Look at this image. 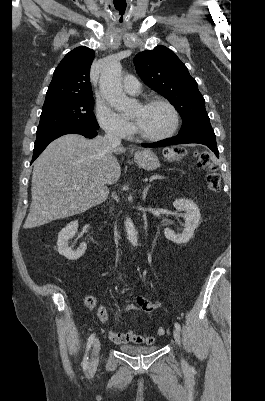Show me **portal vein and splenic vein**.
Segmentation results:
<instances>
[{"instance_id": "18ae733b", "label": "portal vein and splenic vein", "mask_w": 265, "mask_h": 401, "mask_svg": "<svg viewBox=\"0 0 265 401\" xmlns=\"http://www.w3.org/2000/svg\"><path fill=\"white\" fill-rule=\"evenodd\" d=\"M166 178L165 174H154L153 176H151V178H149V182L152 181H163ZM73 188H76V190H80V188H82V186H79V184H74Z\"/></svg>"}]
</instances>
